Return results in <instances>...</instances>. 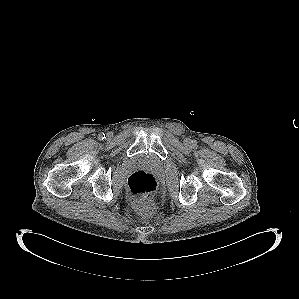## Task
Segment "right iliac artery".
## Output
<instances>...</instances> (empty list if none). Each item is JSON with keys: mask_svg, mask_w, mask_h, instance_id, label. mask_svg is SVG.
I'll return each instance as SVG.
<instances>
[{"mask_svg": "<svg viewBox=\"0 0 299 299\" xmlns=\"http://www.w3.org/2000/svg\"><path fill=\"white\" fill-rule=\"evenodd\" d=\"M104 138H105V134H104V133H101V134L99 135V139L103 140Z\"/></svg>", "mask_w": 299, "mask_h": 299, "instance_id": "82829eb1", "label": "right iliac artery"}]
</instances>
